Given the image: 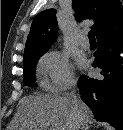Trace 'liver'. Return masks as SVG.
<instances>
[{"label": "liver", "instance_id": "6515ba94", "mask_svg": "<svg viewBox=\"0 0 123 130\" xmlns=\"http://www.w3.org/2000/svg\"><path fill=\"white\" fill-rule=\"evenodd\" d=\"M79 128L92 124L94 118L89 107L78 99ZM74 102L69 94H38L25 96L10 123L9 130H71Z\"/></svg>", "mask_w": 123, "mask_h": 130}]
</instances>
